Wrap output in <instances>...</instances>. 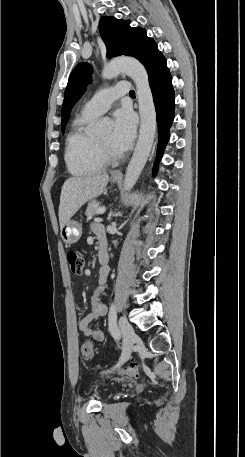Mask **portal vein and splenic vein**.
<instances>
[{"mask_svg": "<svg viewBox=\"0 0 245 457\" xmlns=\"http://www.w3.org/2000/svg\"><path fill=\"white\" fill-rule=\"evenodd\" d=\"M106 208L105 206H100V208H98L97 210V214H103V212H105Z\"/></svg>", "mask_w": 245, "mask_h": 457, "instance_id": "obj_1", "label": "portal vein and splenic vein"}]
</instances>
